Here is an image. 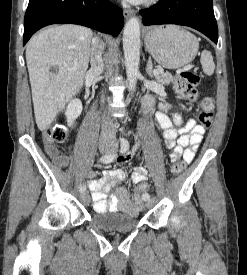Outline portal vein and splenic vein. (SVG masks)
<instances>
[{
	"label": "portal vein and splenic vein",
	"instance_id": "1",
	"mask_svg": "<svg viewBox=\"0 0 247 275\" xmlns=\"http://www.w3.org/2000/svg\"><path fill=\"white\" fill-rule=\"evenodd\" d=\"M159 74H160V70L155 69V70H154V75H155V76H158Z\"/></svg>",
	"mask_w": 247,
	"mask_h": 275
}]
</instances>
